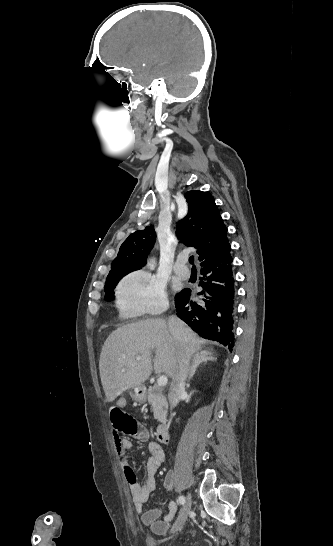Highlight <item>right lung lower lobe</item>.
I'll return each instance as SVG.
<instances>
[{"label": "right lung lower lobe", "mask_w": 333, "mask_h": 546, "mask_svg": "<svg viewBox=\"0 0 333 546\" xmlns=\"http://www.w3.org/2000/svg\"><path fill=\"white\" fill-rule=\"evenodd\" d=\"M198 295L200 301L190 300L191 291L184 289L176 295L177 316L186 322L201 337L234 346L235 280L232 270L230 244L209 262L201 263Z\"/></svg>", "instance_id": "1"}]
</instances>
